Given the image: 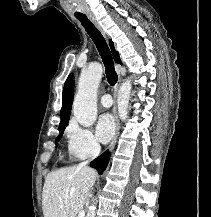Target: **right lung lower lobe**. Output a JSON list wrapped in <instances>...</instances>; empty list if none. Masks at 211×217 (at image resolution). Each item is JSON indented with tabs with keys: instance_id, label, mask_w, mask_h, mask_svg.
<instances>
[{
	"instance_id": "obj_1",
	"label": "right lung lower lobe",
	"mask_w": 211,
	"mask_h": 217,
	"mask_svg": "<svg viewBox=\"0 0 211 217\" xmlns=\"http://www.w3.org/2000/svg\"><path fill=\"white\" fill-rule=\"evenodd\" d=\"M109 153L108 152H104L101 156H99L98 158H96L95 160H93L90 163V166L92 168H95L99 174H102L103 171L106 169L107 165H108V161H109Z\"/></svg>"
}]
</instances>
